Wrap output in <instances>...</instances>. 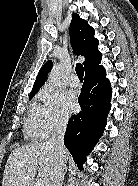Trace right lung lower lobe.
Here are the masks:
<instances>
[{
    "mask_svg": "<svg viewBox=\"0 0 138 186\" xmlns=\"http://www.w3.org/2000/svg\"><path fill=\"white\" fill-rule=\"evenodd\" d=\"M105 75L85 76L78 98L81 111L67 125L64 144L80 168L86 160L84 155L91 152L106 126L112 89Z\"/></svg>",
    "mask_w": 138,
    "mask_h": 186,
    "instance_id": "1",
    "label": "right lung lower lobe"
}]
</instances>
